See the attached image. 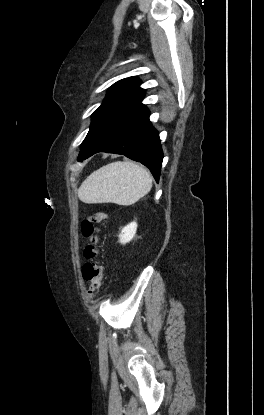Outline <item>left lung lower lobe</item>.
I'll return each instance as SVG.
<instances>
[{
    "label": "left lung lower lobe",
    "instance_id": "obj_1",
    "mask_svg": "<svg viewBox=\"0 0 264 415\" xmlns=\"http://www.w3.org/2000/svg\"><path fill=\"white\" fill-rule=\"evenodd\" d=\"M144 96L129 97L104 112L82 142L78 160L98 152L123 154L149 168L158 182L163 152L150 112L141 103Z\"/></svg>",
    "mask_w": 264,
    "mask_h": 415
}]
</instances>
